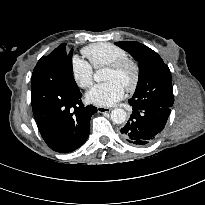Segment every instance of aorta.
I'll return each instance as SVG.
<instances>
[{"mask_svg":"<svg viewBox=\"0 0 205 205\" xmlns=\"http://www.w3.org/2000/svg\"><path fill=\"white\" fill-rule=\"evenodd\" d=\"M93 77H94V80L97 82L102 81V76L100 74V71H97ZM126 117H127L126 111L122 108H116L112 110L111 112V120L115 124L124 123L126 120Z\"/></svg>","mask_w":205,"mask_h":205,"instance_id":"aorta-1","label":"aorta"}]
</instances>
